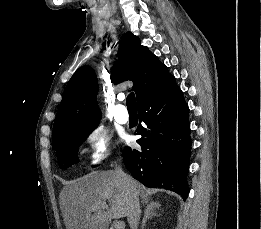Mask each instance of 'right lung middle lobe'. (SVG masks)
Here are the masks:
<instances>
[{"label":"right lung middle lobe","mask_w":261,"mask_h":229,"mask_svg":"<svg viewBox=\"0 0 261 229\" xmlns=\"http://www.w3.org/2000/svg\"><path fill=\"white\" fill-rule=\"evenodd\" d=\"M97 126L98 124L81 125L63 129L65 139L57 147V158L61 168H67L78 161L77 151L79 145Z\"/></svg>","instance_id":"obj_1"}]
</instances>
